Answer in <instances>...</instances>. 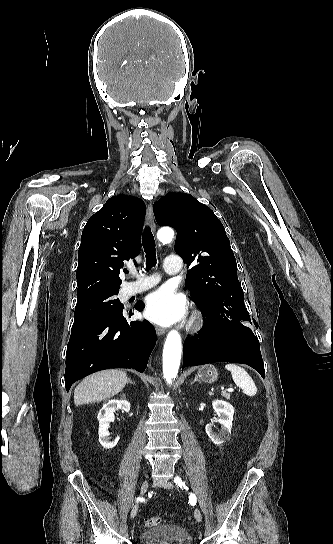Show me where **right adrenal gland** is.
<instances>
[{
  "mask_svg": "<svg viewBox=\"0 0 333 544\" xmlns=\"http://www.w3.org/2000/svg\"><path fill=\"white\" fill-rule=\"evenodd\" d=\"M128 383H130V384H135L134 382H132L131 379H128Z\"/></svg>",
  "mask_w": 333,
  "mask_h": 544,
  "instance_id": "2a0ac1e0",
  "label": "right adrenal gland"
}]
</instances>
